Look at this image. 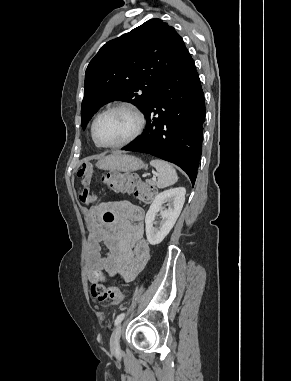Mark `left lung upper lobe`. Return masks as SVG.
Returning a JSON list of instances; mask_svg holds the SVG:
<instances>
[{
    "label": "left lung upper lobe",
    "instance_id": "1",
    "mask_svg": "<svg viewBox=\"0 0 291 381\" xmlns=\"http://www.w3.org/2000/svg\"><path fill=\"white\" fill-rule=\"evenodd\" d=\"M187 51L175 29L158 18L107 42L86 70L83 129L101 106L114 100L130 102L144 112Z\"/></svg>",
    "mask_w": 291,
    "mask_h": 381
}]
</instances>
